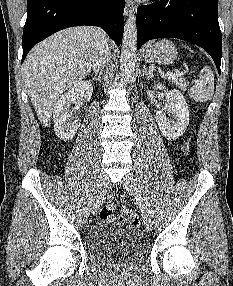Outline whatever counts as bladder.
<instances>
[{
    "mask_svg": "<svg viewBox=\"0 0 233 286\" xmlns=\"http://www.w3.org/2000/svg\"><path fill=\"white\" fill-rule=\"evenodd\" d=\"M90 258L101 265L134 267L144 262L149 252L146 237L134 226L115 218H101L88 237Z\"/></svg>",
    "mask_w": 233,
    "mask_h": 286,
    "instance_id": "31cf9c89",
    "label": "bladder"
}]
</instances>
